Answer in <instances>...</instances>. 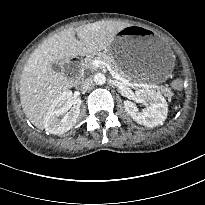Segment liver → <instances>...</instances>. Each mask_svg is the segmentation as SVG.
Instances as JSON below:
<instances>
[{"label":"liver","mask_w":205,"mask_h":205,"mask_svg":"<svg viewBox=\"0 0 205 205\" xmlns=\"http://www.w3.org/2000/svg\"><path fill=\"white\" fill-rule=\"evenodd\" d=\"M127 23L98 21L61 31L44 41L30 55L20 77L23 112L39 129L44 128L46 114L62 92L73 86L63 73L51 65L59 60L94 54L106 48ZM78 35L79 40L75 38Z\"/></svg>","instance_id":"liver-1"}]
</instances>
